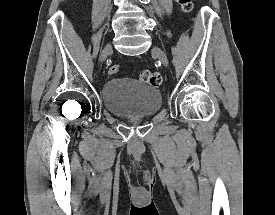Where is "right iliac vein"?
<instances>
[{
	"instance_id": "right-iliac-vein-1",
	"label": "right iliac vein",
	"mask_w": 275,
	"mask_h": 215,
	"mask_svg": "<svg viewBox=\"0 0 275 215\" xmlns=\"http://www.w3.org/2000/svg\"><path fill=\"white\" fill-rule=\"evenodd\" d=\"M112 51V47L110 44L106 45L104 48L102 54H101V61H104L107 57V55Z\"/></svg>"
}]
</instances>
